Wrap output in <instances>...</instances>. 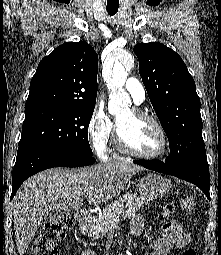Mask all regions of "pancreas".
Segmentation results:
<instances>
[{
  "instance_id": "obj_1",
  "label": "pancreas",
  "mask_w": 221,
  "mask_h": 255,
  "mask_svg": "<svg viewBox=\"0 0 221 255\" xmlns=\"http://www.w3.org/2000/svg\"><path fill=\"white\" fill-rule=\"evenodd\" d=\"M143 204L147 203L138 194L127 192L103 209L100 216L90 218L86 229L95 238L104 236L121 220L133 217Z\"/></svg>"
}]
</instances>
